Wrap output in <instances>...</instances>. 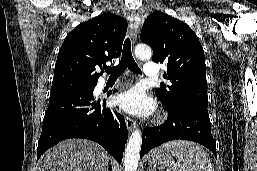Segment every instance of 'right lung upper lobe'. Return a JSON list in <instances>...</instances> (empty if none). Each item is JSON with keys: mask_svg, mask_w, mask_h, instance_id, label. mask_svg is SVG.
<instances>
[{"mask_svg": "<svg viewBox=\"0 0 257 171\" xmlns=\"http://www.w3.org/2000/svg\"><path fill=\"white\" fill-rule=\"evenodd\" d=\"M127 31L124 18L105 13L83 22L65 38L57 57L52 86L97 83L102 65L117 58ZM101 68V72L96 71Z\"/></svg>", "mask_w": 257, "mask_h": 171, "instance_id": "obj_1", "label": "right lung upper lobe"}]
</instances>
